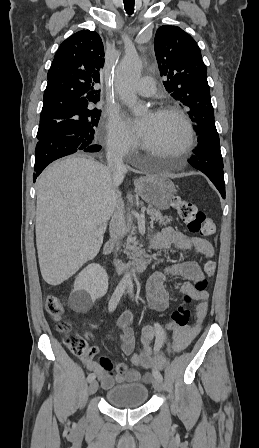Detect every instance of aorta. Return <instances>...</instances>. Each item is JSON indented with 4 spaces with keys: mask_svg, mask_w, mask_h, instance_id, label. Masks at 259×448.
<instances>
[{
    "mask_svg": "<svg viewBox=\"0 0 259 448\" xmlns=\"http://www.w3.org/2000/svg\"><path fill=\"white\" fill-rule=\"evenodd\" d=\"M142 64L137 55H127L119 64L116 71V89L121 100L128 105L135 115H139L144 108L138 104L135 93L136 84L141 75ZM132 292L133 282L130 272H126L121 281Z\"/></svg>",
    "mask_w": 259,
    "mask_h": 448,
    "instance_id": "762f6f07",
    "label": "aorta"
}]
</instances>
